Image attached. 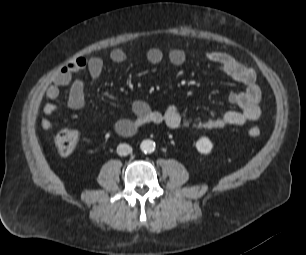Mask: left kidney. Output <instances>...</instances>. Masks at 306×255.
Returning <instances> with one entry per match:
<instances>
[{
  "label": "left kidney",
  "instance_id": "obj_1",
  "mask_svg": "<svg viewBox=\"0 0 306 255\" xmlns=\"http://www.w3.org/2000/svg\"><path fill=\"white\" fill-rule=\"evenodd\" d=\"M197 150L202 154H208L213 148L212 142L207 137H201L196 142Z\"/></svg>",
  "mask_w": 306,
  "mask_h": 255
}]
</instances>
